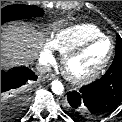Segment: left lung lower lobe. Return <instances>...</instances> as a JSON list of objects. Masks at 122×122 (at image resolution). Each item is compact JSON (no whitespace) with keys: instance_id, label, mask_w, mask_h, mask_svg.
<instances>
[{"instance_id":"0a47b994","label":"left lung lower lobe","mask_w":122,"mask_h":122,"mask_svg":"<svg viewBox=\"0 0 122 122\" xmlns=\"http://www.w3.org/2000/svg\"><path fill=\"white\" fill-rule=\"evenodd\" d=\"M121 102L122 60H118L97 81L68 92L66 107L72 114L95 118L111 113Z\"/></svg>"}]
</instances>
